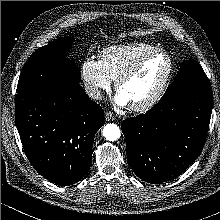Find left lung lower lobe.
I'll return each instance as SVG.
<instances>
[{"label":"left lung lower lobe","mask_w":220,"mask_h":220,"mask_svg":"<svg viewBox=\"0 0 220 220\" xmlns=\"http://www.w3.org/2000/svg\"><path fill=\"white\" fill-rule=\"evenodd\" d=\"M212 111L210 86L195 87L161 100L145 114L122 122L134 173L150 183L178 177L200 155Z\"/></svg>","instance_id":"obj_1"}]
</instances>
